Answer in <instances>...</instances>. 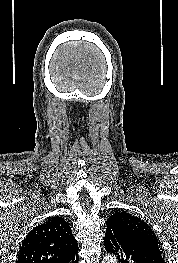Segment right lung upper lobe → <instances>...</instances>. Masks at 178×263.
Segmentation results:
<instances>
[{
    "mask_svg": "<svg viewBox=\"0 0 178 263\" xmlns=\"http://www.w3.org/2000/svg\"><path fill=\"white\" fill-rule=\"evenodd\" d=\"M77 252V241L69 224L55 216L28 233L16 263H67Z\"/></svg>",
    "mask_w": 178,
    "mask_h": 263,
    "instance_id": "right-lung-upper-lobe-1",
    "label": "right lung upper lobe"
}]
</instances>
